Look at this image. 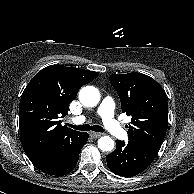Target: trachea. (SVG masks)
<instances>
[{
	"label": "trachea",
	"mask_w": 194,
	"mask_h": 194,
	"mask_svg": "<svg viewBox=\"0 0 194 194\" xmlns=\"http://www.w3.org/2000/svg\"><path fill=\"white\" fill-rule=\"evenodd\" d=\"M69 127L74 128L75 130H80V131H95V132H104L105 130L99 126V125H93L90 126L89 124H85V125H72V124H68Z\"/></svg>",
	"instance_id": "obj_1"
}]
</instances>
